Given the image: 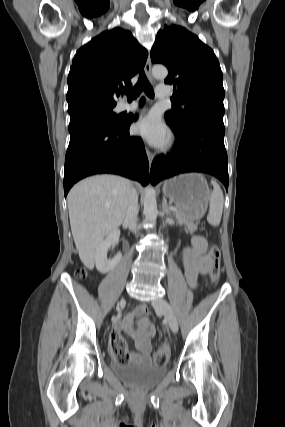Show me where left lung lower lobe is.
Segmentation results:
<instances>
[{"label": "left lung lower lobe", "mask_w": 285, "mask_h": 427, "mask_svg": "<svg viewBox=\"0 0 285 427\" xmlns=\"http://www.w3.org/2000/svg\"><path fill=\"white\" fill-rule=\"evenodd\" d=\"M167 123L176 133V151L171 156L154 159L150 171L151 182L157 184L181 173L204 172L219 178L228 190L223 122L202 118L186 129L175 127L169 120Z\"/></svg>", "instance_id": "0a47b994"}]
</instances>
